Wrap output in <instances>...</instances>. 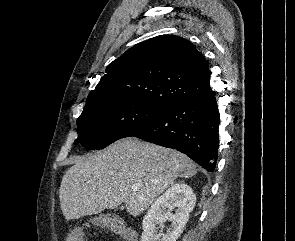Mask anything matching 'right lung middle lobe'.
<instances>
[{"instance_id": "right-lung-middle-lobe-1", "label": "right lung middle lobe", "mask_w": 295, "mask_h": 241, "mask_svg": "<svg viewBox=\"0 0 295 241\" xmlns=\"http://www.w3.org/2000/svg\"><path fill=\"white\" fill-rule=\"evenodd\" d=\"M164 108L143 104L115 92L89 95L77 119L75 144L89 150L103 149L131 130L158 116Z\"/></svg>"}]
</instances>
